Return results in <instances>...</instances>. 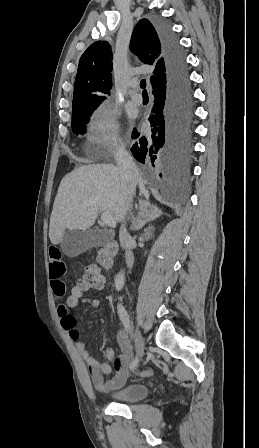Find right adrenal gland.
I'll list each match as a JSON object with an SVG mask.
<instances>
[{
	"mask_svg": "<svg viewBox=\"0 0 259 448\" xmlns=\"http://www.w3.org/2000/svg\"><path fill=\"white\" fill-rule=\"evenodd\" d=\"M149 206L150 204H148V202H145V200H141L139 206V216H137L135 222H133L131 230H141V228H143V226H145L147 222H151V220H154V218H158L157 214H154V216H147Z\"/></svg>",
	"mask_w": 259,
	"mask_h": 448,
	"instance_id": "1",
	"label": "right adrenal gland"
}]
</instances>
